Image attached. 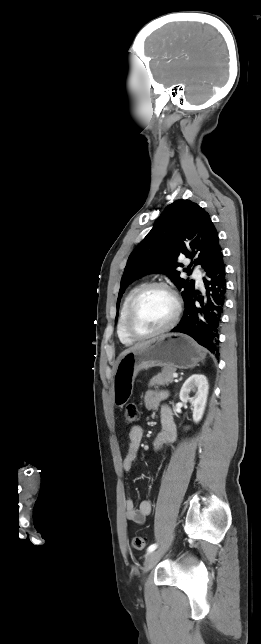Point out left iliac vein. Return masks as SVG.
I'll use <instances>...</instances> for the list:
<instances>
[{"mask_svg": "<svg viewBox=\"0 0 261 644\" xmlns=\"http://www.w3.org/2000/svg\"><path fill=\"white\" fill-rule=\"evenodd\" d=\"M163 554H164L163 549H158L150 552L147 555L144 562V568H143L144 573H147L148 571H150L158 563V561L161 559Z\"/></svg>", "mask_w": 261, "mask_h": 644, "instance_id": "1", "label": "left iliac vein"}]
</instances>
